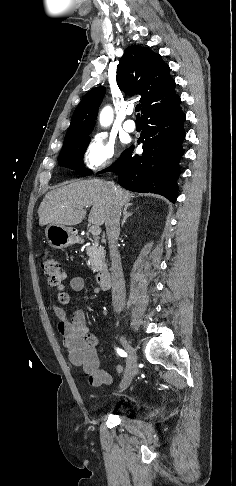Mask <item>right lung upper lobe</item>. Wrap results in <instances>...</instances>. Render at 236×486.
<instances>
[{
    "label": "right lung upper lobe",
    "mask_w": 236,
    "mask_h": 486,
    "mask_svg": "<svg viewBox=\"0 0 236 486\" xmlns=\"http://www.w3.org/2000/svg\"><path fill=\"white\" fill-rule=\"evenodd\" d=\"M169 71V66L159 54L147 47L132 45L126 49L117 66V84L127 95H141L143 111L175 93L176 84ZM104 94L105 88L97 87L83 97L73 113L64 144L91 133Z\"/></svg>",
    "instance_id": "right-lung-upper-lobe-1"
}]
</instances>
